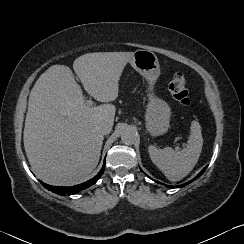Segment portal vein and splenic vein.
I'll return each mask as SVG.
<instances>
[{
	"label": "portal vein and splenic vein",
	"instance_id": "portal-vein-and-splenic-vein-1",
	"mask_svg": "<svg viewBox=\"0 0 244 244\" xmlns=\"http://www.w3.org/2000/svg\"><path fill=\"white\" fill-rule=\"evenodd\" d=\"M85 103H86V105L91 106L93 104V101L92 100H87ZM175 149L179 150L180 148L178 146H176Z\"/></svg>",
	"mask_w": 244,
	"mask_h": 244
}]
</instances>
